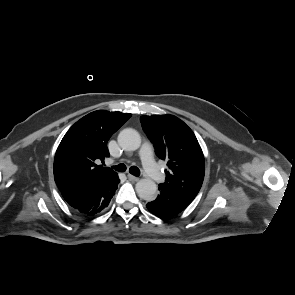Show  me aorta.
<instances>
[{
	"label": "aorta",
	"instance_id": "aorta-1",
	"mask_svg": "<svg viewBox=\"0 0 295 295\" xmlns=\"http://www.w3.org/2000/svg\"><path fill=\"white\" fill-rule=\"evenodd\" d=\"M117 140L119 146L127 151H135L141 145L140 134L132 128L123 129ZM136 192L141 199L153 201L156 197L157 185L153 180L143 178L136 183Z\"/></svg>",
	"mask_w": 295,
	"mask_h": 295
}]
</instances>
